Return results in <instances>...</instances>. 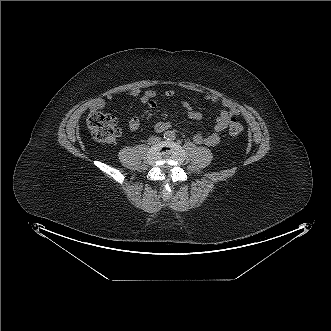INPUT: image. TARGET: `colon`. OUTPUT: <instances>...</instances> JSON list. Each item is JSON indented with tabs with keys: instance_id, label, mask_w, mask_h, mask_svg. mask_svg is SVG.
Wrapping results in <instances>:
<instances>
[{
	"instance_id": "1",
	"label": "colon",
	"mask_w": 331,
	"mask_h": 331,
	"mask_svg": "<svg viewBox=\"0 0 331 331\" xmlns=\"http://www.w3.org/2000/svg\"><path fill=\"white\" fill-rule=\"evenodd\" d=\"M85 118L92 136L97 141L107 143L113 142L120 135L116 119L110 113L101 112L97 109L91 108L86 113ZM243 129L244 127L238 119L231 118L228 126L230 135L238 136L243 132Z\"/></svg>"
}]
</instances>
